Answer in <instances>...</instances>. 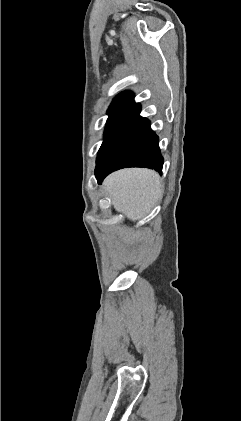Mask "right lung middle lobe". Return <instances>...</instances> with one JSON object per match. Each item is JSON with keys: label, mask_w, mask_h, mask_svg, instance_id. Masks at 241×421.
<instances>
[{"label": "right lung middle lobe", "mask_w": 241, "mask_h": 421, "mask_svg": "<svg viewBox=\"0 0 241 421\" xmlns=\"http://www.w3.org/2000/svg\"><path fill=\"white\" fill-rule=\"evenodd\" d=\"M131 110L132 106H122L108 109L107 113L109 115V118L107 120L104 132V141L98 152L96 162H98V160L102 157V155L110 146L112 141L115 139L120 129L122 128L124 122L130 115Z\"/></svg>", "instance_id": "right-lung-middle-lobe-1"}]
</instances>
